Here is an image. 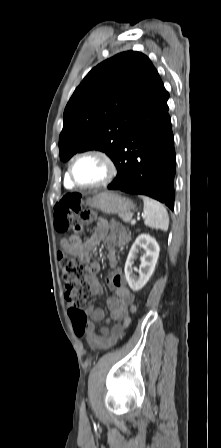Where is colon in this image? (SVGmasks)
Wrapping results in <instances>:
<instances>
[{"instance_id":"5ec220e1","label":"colon","mask_w":221,"mask_h":448,"mask_svg":"<svg viewBox=\"0 0 221 448\" xmlns=\"http://www.w3.org/2000/svg\"><path fill=\"white\" fill-rule=\"evenodd\" d=\"M89 218V213L81 208V195L67 193L54 207V227L58 232H65L70 227L77 231ZM60 270L65 285V296L71 303L69 314L73 322L74 332L81 337L86 333L87 315L84 311L88 298V288L84 284L85 266L79 257L60 253L58 255Z\"/></svg>"}]
</instances>
